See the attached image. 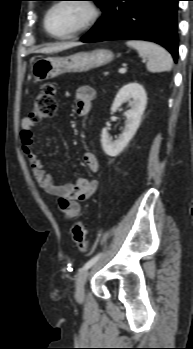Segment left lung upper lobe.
Returning <instances> with one entry per match:
<instances>
[{
  "label": "left lung upper lobe",
  "instance_id": "obj_1",
  "mask_svg": "<svg viewBox=\"0 0 193 349\" xmlns=\"http://www.w3.org/2000/svg\"><path fill=\"white\" fill-rule=\"evenodd\" d=\"M39 1H52V0H39ZM92 1H95L101 7V9L103 10L105 5H106V2L108 0H92Z\"/></svg>",
  "mask_w": 193,
  "mask_h": 349
}]
</instances>
